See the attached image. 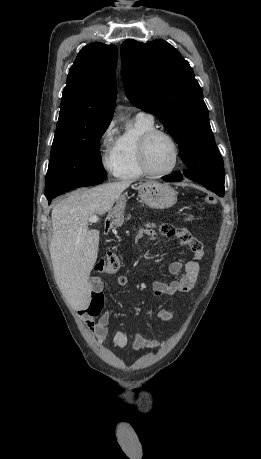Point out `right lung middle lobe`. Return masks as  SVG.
I'll use <instances>...</instances> for the list:
<instances>
[{
    "label": "right lung middle lobe",
    "mask_w": 261,
    "mask_h": 459,
    "mask_svg": "<svg viewBox=\"0 0 261 459\" xmlns=\"http://www.w3.org/2000/svg\"><path fill=\"white\" fill-rule=\"evenodd\" d=\"M109 123L97 124L76 134L54 138L46 175L47 198L107 178L98 147Z\"/></svg>",
    "instance_id": "obj_1"
}]
</instances>
